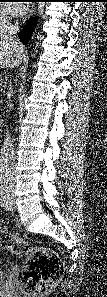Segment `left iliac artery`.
<instances>
[{
    "label": "left iliac artery",
    "mask_w": 107,
    "mask_h": 297,
    "mask_svg": "<svg viewBox=\"0 0 107 297\" xmlns=\"http://www.w3.org/2000/svg\"><path fill=\"white\" fill-rule=\"evenodd\" d=\"M5 193L3 191H1V206L5 207L6 204V197L4 195Z\"/></svg>",
    "instance_id": "1"
}]
</instances>
